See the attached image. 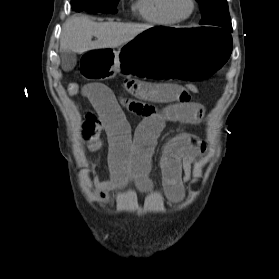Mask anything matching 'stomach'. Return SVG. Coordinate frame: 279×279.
Masks as SVG:
<instances>
[{
    "label": "stomach",
    "instance_id": "stomach-1",
    "mask_svg": "<svg viewBox=\"0 0 279 279\" xmlns=\"http://www.w3.org/2000/svg\"><path fill=\"white\" fill-rule=\"evenodd\" d=\"M220 24L202 27L151 25L118 50H82L75 75L83 82H107L114 75H141L150 82H214L232 55L230 34ZM170 49V50H159ZM222 49V50H221Z\"/></svg>",
    "mask_w": 279,
    "mask_h": 279
}]
</instances>
